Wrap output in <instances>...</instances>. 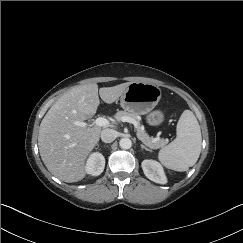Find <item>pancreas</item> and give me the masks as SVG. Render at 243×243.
<instances>
[{
  "label": "pancreas",
  "mask_w": 243,
  "mask_h": 243,
  "mask_svg": "<svg viewBox=\"0 0 243 243\" xmlns=\"http://www.w3.org/2000/svg\"><path fill=\"white\" fill-rule=\"evenodd\" d=\"M123 117L132 118L133 120H135L138 123V126L136 128L137 137H138L139 140H141L149 148L158 149L165 144V140H157L155 138L150 137L146 133L144 128L139 126L140 116L138 114L127 112V111H118L115 115V119L117 121H122Z\"/></svg>",
  "instance_id": "pancreas-1"
}]
</instances>
